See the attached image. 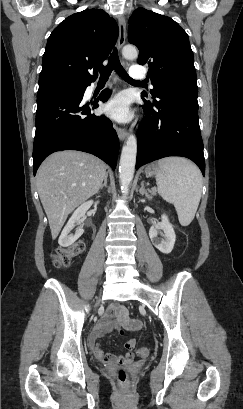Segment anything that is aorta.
Listing matches in <instances>:
<instances>
[{"mask_svg":"<svg viewBox=\"0 0 243 409\" xmlns=\"http://www.w3.org/2000/svg\"><path fill=\"white\" fill-rule=\"evenodd\" d=\"M122 54L124 58L132 60L138 57V51L136 47L127 45L123 48ZM137 155V139L134 135L130 134L122 148L120 165H119V178L121 191L124 195L129 192V185L132 182L135 163Z\"/></svg>","mask_w":243,"mask_h":409,"instance_id":"obj_1","label":"aorta"}]
</instances>
